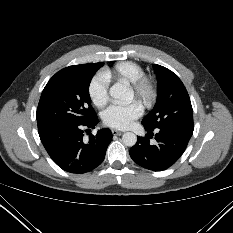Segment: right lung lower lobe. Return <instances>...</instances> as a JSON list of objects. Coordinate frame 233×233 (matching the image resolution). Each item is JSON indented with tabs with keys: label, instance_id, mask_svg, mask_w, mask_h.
Wrapping results in <instances>:
<instances>
[{
	"label": "right lung lower lobe",
	"instance_id": "right-lung-lower-lobe-1",
	"mask_svg": "<svg viewBox=\"0 0 233 233\" xmlns=\"http://www.w3.org/2000/svg\"><path fill=\"white\" fill-rule=\"evenodd\" d=\"M97 116L83 124H59L39 130L43 146L52 160L70 173H86L104 160L107 147L112 140L110 129H102L89 141L83 139V127L94 128Z\"/></svg>",
	"mask_w": 233,
	"mask_h": 233
}]
</instances>
